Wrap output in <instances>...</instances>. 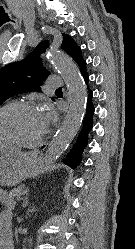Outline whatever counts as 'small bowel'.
Masks as SVG:
<instances>
[{
    "label": "small bowel",
    "mask_w": 135,
    "mask_h": 249,
    "mask_svg": "<svg viewBox=\"0 0 135 249\" xmlns=\"http://www.w3.org/2000/svg\"><path fill=\"white\" fill-rule=\"evenodd\" d=\"M9 218H10V212H9V210H5L2 213V218H0V245H2L4 243L3 239L8 234L6 231V226H7V223L9 221ZM0 249H1V246H0Z\"/></svg>",
    "instance_id": "c3829d8e"
}]
</instances>
